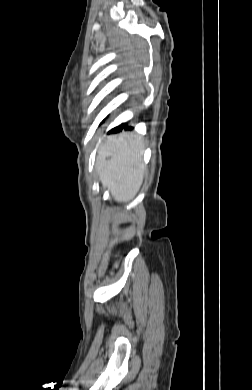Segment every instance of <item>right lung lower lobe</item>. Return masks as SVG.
Returning <instances> with one entry per match:
<instances>
[{
	"label": "right lung lower lobe",
	"instance_id": "right-lung-lower-lobe-1",
	"mask_svg": "<svg viewBox=\"0 0 252 390\" xmlns=\"http://www.w3.org/2000/svg\"><path fill=\"white\" fill-rule=\"evenodd\" d=\"M123 128H125V129H132L131 126L122 124V125H119V126L115 127L114 129H112V131L113 132H118V131H121Z\"/></svg>",
	"mask_w": 252,
	"mask_h": 390
}]
</instances>
